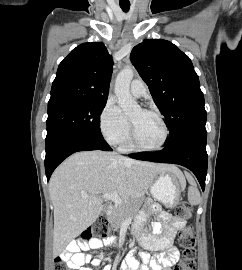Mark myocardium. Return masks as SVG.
Wrapping results in <instances>:
<instances>
[{"label": "myocardium", "mask_w": 242, "mask_h": 270, "mask_svg": "<svg viewBox=\"0 0 242 270\" xmlns=\"http://www.w3.org/2000/svg\"><path fill=\"white\" fill-rule=\"evenodd\" d=\"M142 110L144 112L151 113V114L155 115L159 119V121L162 125V128H163V137H162V140L157 145L144 146L138 142L135 127H134L133 123L130 121L131 145L134 149L139 150V151H144V152H153V151L161 150L167 144L168 139H169V128H168L167 122H166L164 116L161 114V112H159L156 109L143 108Z\"/></svg>", "instance_id": "myocardium-1"}]
</instances>
